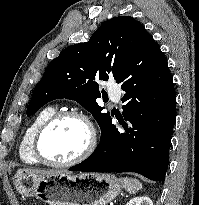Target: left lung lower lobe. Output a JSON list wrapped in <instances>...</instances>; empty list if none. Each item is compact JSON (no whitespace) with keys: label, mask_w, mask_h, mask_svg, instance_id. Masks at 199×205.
<instances>
[{"label":"left lung lower lobe","mask_w":199,"mask_h":205,"mask_svg":"<svg viewBox=\"0 0 199 205\" xmlns=\"http://www.w3.org/2000/svg\"><path fill=\"white\" fill-rule=\"evenodd\" d=\"M122 127L112 119L101 132L92 155L69 170L82 172H135L164 181L176 120V95L167 59L144 30L123 68Z\"/></svg>","instance_id":"1"}]
</instances>
